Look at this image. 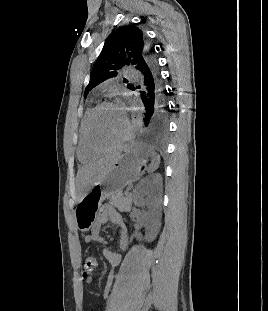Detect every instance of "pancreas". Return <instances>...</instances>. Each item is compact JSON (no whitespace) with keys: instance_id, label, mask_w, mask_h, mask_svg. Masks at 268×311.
I'll return each mask as SVG.
<instances>
[{"instance_id":"obj_1","label":"pancreas","mask_w":268,"mask_h":311,"mask_svg":"<svg viewBox=\"0 0 268 311\" xmlns=\"http://www.w3.org/2000/svg\"><path fill=\"white\" fill-rule=\"evenodd\" d=\"M109 203L120 212H130L132 206V197L130 194L118 192L110 197Z\"/></svg>"}]
</instances>
